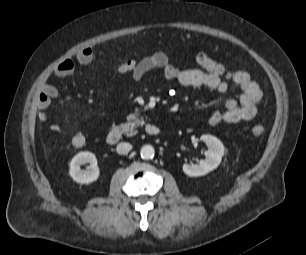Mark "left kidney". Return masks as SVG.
Segmentation results:
<instances>
[{
    "label": "left kidney",
    "instance_id": "obj_1",
    "mask_svg": "<svg viewBox=\"0 0 306 255\" xmlns=\"http://www.w3.org/2000/svg\"><path fill=\"white\" fill-rule=\"evenodd\" d=\"M200 140L203 141L208 150L205 151V159H201L198 164H183V172L190 177H198L208 174L221 163L224 155V145L212 135H202Z\"/></svg>",
    "mask_w": 306,
    "mask_h": 255
}]
</instances>
